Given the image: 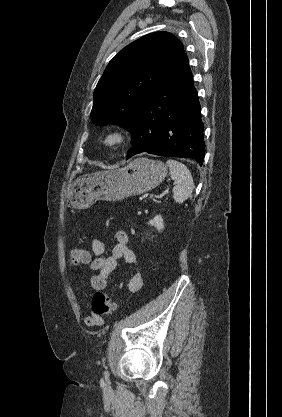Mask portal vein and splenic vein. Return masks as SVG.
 <instances>
[{"label": "portal vein and splenic vein", "mask_w": 282, "mask_h": 417, "mask_svg": "<svg viewBox=\"0 0 282 417\" xmlns=\"http://www.w3.org/2000/svg\"><path fill=\"white\" fill-rule=\"evenodd\" d=\"M175 184H176V182H175ZM148 196H149V193H148V192H145L143 195H140L139 200H140V201H143V200H144V199H146Z\"/></svg>", "instance_id": "portal-vein-and-splenic-vein-1"}]
</instances>
